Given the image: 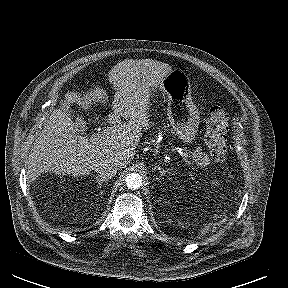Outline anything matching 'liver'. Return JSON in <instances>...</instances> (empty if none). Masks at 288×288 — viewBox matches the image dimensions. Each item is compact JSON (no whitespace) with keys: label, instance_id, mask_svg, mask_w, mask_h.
<instances>
[{"label":"liver","instance_id":"1","mask_svg":"<svg viewBox=\"0 0 288 288\" xmlns=\"http://www.w3.org/2000/svg\"><path fill=\"white\" fill-rule=\"evenodd\" d=\"M172 71L166 63L152 59L124 60L109 72V81L116 90L112 102L113 113L106 119L114 124L105 129L98 141L77 135L69 116L54 109L43 130L33 143L28 157L27 177L30 181L44 172L88 175L98 161L112 159L118 168H124L136 152L142 131L150 127L148 109L154 87ZM107 94L95 87L86 94L69 92L67 104L77 103L88 110L91 102H105ZM123 117L126 122H121Z\"/></svg>","mask_w":288,"mask_h":288}]
</instances>
